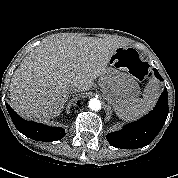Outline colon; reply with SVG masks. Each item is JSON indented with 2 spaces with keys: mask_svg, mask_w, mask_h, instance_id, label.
Wrapping results in <instances>:
<instances>
[{
  "mask_svg": "<svg viewBox=\"0 0 178 178\" xmlns=\"http://www.w3.org/2000/svg\"><path fill=\"white\" fill-rule=\"evenodd\" d=\"M131 73L137 79H144L149 76V67L144 62H138L131 68Z\"/></svg>",
  "mask_w": 178,
  "mask_h": 178,
  "instance_id": "1",
  "label": "colon"
}]
</instances>
